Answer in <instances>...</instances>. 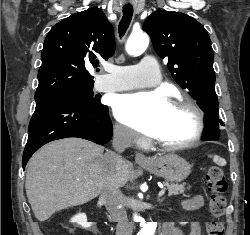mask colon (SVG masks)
Listing matches in <instances>:
<instances>
[{
  "mask_svg": "<svg viewBox=\"0 0 250 235\" xmlns=\"http://www.w3.org/2000/svg\"><path fill=\"white\" fill-rule=\"evenodd\" d=\"M206 188L209 192V211L211 219L206 224L207 235H223L224 224L221 217L224 214L226 199L224 193L228 185L222 167L213 165L208 169Z\"/></svg>",
  "mask_w": 250,
  "mask_h": 235,
  "instance_id": "obj_1",
  "label": "colon"
}]
</instances>
